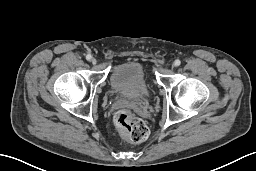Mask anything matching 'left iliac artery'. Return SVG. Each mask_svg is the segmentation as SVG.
<instances>
[{
	"mask_svg": "<svg viewBox=\"0 0 256 171\" xmlns=\"http://www.w3.org/2000/svg\"><path fill=\"white\" fill-rule=\"evenodd\" d=\"M174 63H175L176 66H179L181 64V61L177 59V60H175Z\"/></svg>",
	"mask_w": 256,
	"mask_h": 171,
	"instance_id": "obj_1",
	"label": "left iliac artery"
}]
</instances>
